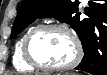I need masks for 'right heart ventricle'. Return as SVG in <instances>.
<instances>
[{
    "label": "right heart ventricle",
    "mask_w": 107,
    "mask_h": 75,
    "mask_svg": "<svg viewBox=\"0 0 107 75\" xmlns=\"http://www.w3.org/2000/svg\"><path fill=\"white\" fill-rule=\"evenodd\" d=\"M32 29L27 30L16 42L14 53H13V65L17 71L20 72H31L34 71L35 68L30 66L23 58L22 54V46L24 39L26 35L31 31Z\"/></svg>",
    "instance_id": "1"
}]
</instances>
